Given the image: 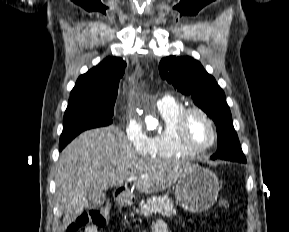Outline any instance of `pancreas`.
Masks as SVG:
<instances>
[{"label": "pancreas", "mask_w": 289, "mask_h": 232, "mask_svg": "<svg viewBox=\"0 0 289 232\" xmlns=\"http://www.w3.org/2000/svg\"><path fill=\"white\" fill-rule=\"evenodd\" d=\"M135 213L144 216H150L153 213H159L162 216L171 217L176 214L173 202L168 196H153L147 199L146 202L142 201L140 203V209H136ZM134 214L131 213V216Z\"/></svg>", "instance_id": "obj_1"}]
</instances>
